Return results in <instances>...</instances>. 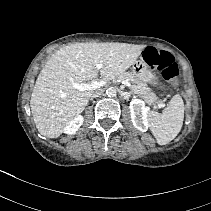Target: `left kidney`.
<instances>
[{"label": "left kidney", "mask_w": 211, "mask_h": 211, "mask_svg": "<svg viewBox=\"0 0 211 211\" xmlns=\"http://www.w3.org/2000/svg\"><path fill=\"white\" fill-rule=\"evenodd\" d=\"M129 109L131 113L130 115L133 126L141 132L147 131L149 127L148 124L149 107L145 106L144 101L140 99H133L130 102Z\"/></svg>", "instance_id": "1"}]
</instances>
